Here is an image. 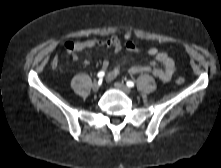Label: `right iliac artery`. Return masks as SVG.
Wrapping results in <instances>:
<instances>
[{"label": "right iliac artery", "instance_id": "82829eb1", "mask_svg": "<svg viewBox=\"0 0 221 168\" xmlns=\"http://www.w3.org/2000/svg\"><path fill=\"white\" fill-rule=\"evenodd\" d=\"M104 72L103 71H100L98 74H97V77L102 79L104 77Z\"/></svg>", "mask_w": 221, "mask_h": 168}]
</instances>
